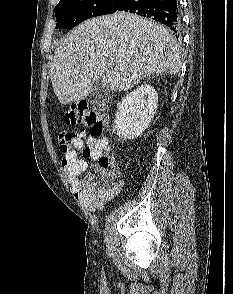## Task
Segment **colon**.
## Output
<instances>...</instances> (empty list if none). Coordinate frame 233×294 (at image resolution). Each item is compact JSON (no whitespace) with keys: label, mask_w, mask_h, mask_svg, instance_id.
<instances>
[{"label":"colon","mask_w":233,"mask_h":294,"mask_svg":"<svg viewBox=\"0 0 233 294\" xmlns=\"http://www.w3.org/2000/svg\"><path fill=\"white\" fill-rule=\"evenodd\" d=\"M64 122L69 125H83L89 129L93 138L100 137L105 129L106 120L88 110L86 104L79 103L71 106L65 113ZM73 133H61L58 136V147L62 158H66L71 148ZM104 147L94 158L96 163L84 179L83 185L87 190H98L108 188L118 173L114 160L105 153Z\"/></svg>","instance_id":"colon-1"}]
</instances>
